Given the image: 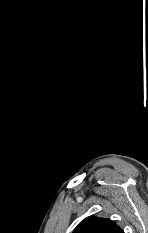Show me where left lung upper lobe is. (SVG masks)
Wrapping results in <instances>:
<instances>
[{
  "mask_svg": "<svg viewBox=\"0 0 148 233\" xmlns=\"http://www.w3.org/2000/svg\"><path fill=\"white\" fill-rule=\"evenodd\" d=\"M73 233H124V231L110 219L91 216L82 220Z\"/></svg>",
  "mask_w": 148,
  "mask_h": 233,
  "instance_id": "5c2ea615",
  "label": "left lung upper lobe"
}]
</instances>
